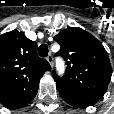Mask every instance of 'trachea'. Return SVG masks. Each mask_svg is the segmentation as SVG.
<instances>
[{"instance_id":"3493384b","label":"trachea","mask_w":114,"mask_h":114,"mask_svg":"<svg viewBox=\"0 0 114 114\" xmlns=\"http://www.w3.org/2000/svg\"><path fill=\"white\" fill-rule=\"evenodd\" d=\"M48 46L46 44H42L38 48V53L41 57H46L48 55Z\"/></svg>"}]
</instances>
